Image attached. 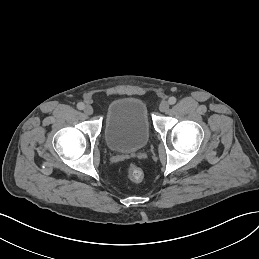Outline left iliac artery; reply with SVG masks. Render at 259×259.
<instances>
[{"label":"left iliac artery","instance_id":"1","mask_svg":"<svg viewBox=\"0 0 259 259\" xmlns=\"http://www.w3.org/2000/svg\"><path fill=\"white\" fill-rule=\"evenodd\" d=\"M168 102H169L170 105H173V104L176 103V98L175 97H170Z\"/></svg>","mask_w":259,"mask_h":259}]
</instances>
